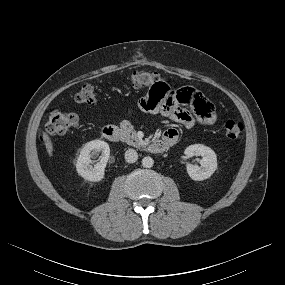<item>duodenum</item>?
I'll return each instance as SVG.
<instances>
[{
    "label": "duodenum",
    "mask_w": 285,
    "mask_h": 285,
    "mask_svg": "<svg viewBox=\"0 0 285 285\" xmlns=\"http://www.w3.org/2000/svg\"><path fill=\"white\" fill-rule=\"evenodd\" d=\"M102 136L111 142H118L120 140L119 128L115 125H105L101 130ZM170 146L169 143L162 139H157L148 145V151L151 153H162Z\"/></svg>",
    "instance_id": "410a0bca"
}]
</instances>
